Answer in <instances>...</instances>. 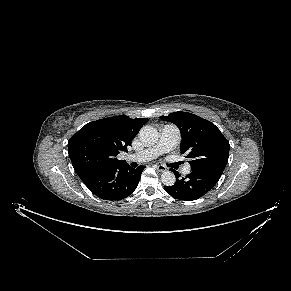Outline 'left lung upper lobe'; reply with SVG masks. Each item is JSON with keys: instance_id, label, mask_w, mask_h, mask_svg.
Instances as JSON below:
<instances>
[{"instance_id": "1", "label": "left lung upper lobe", "mask_w": 291, "mask_h": 291, "mask_svg": "<svg viewBox=\"0 0 291 291\" xmlns=\"http://www.w3.org/2000/svg\"><path fill=\"white\" fill-rule=\"evenodd\" d=\"M181 130V152L190 159L192 171L223 173L229 157V142L210 121L187 112H174L161 116Z\"/></svg>"}]
</instances>
